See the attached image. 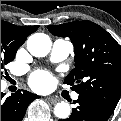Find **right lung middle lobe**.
<instances>
[{
	"instance_id": "right-lung-middle-lobe-1",
	"label": "right lung middle lobe",
	"mask_w": 121,
	"mask_h": 121,
	"mask_svg": "<svg viewBox=\"0 0 121 121\" xmlns=\"http://www.w3.org/2000/svg\"><path fill=\"white\" fill-rule=\"evenodd\" d=\"M23 44L9 32L1 30V75L4 65L15 57L17 49Z\"/></svg>"
}]
</instances>
